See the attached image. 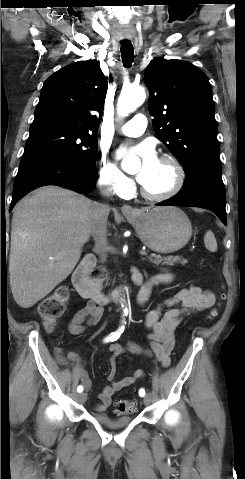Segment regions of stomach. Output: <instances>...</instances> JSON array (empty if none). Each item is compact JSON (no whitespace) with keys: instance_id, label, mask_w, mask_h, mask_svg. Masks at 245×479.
I'll return each instance as SVG.
<instances>
[{"instance_id":"0dacf381","label":"stomach","mask_w":245,"mask_h":479,"mask_svg":"<svg viewBox=\"0 0 245 479\" xmlns=\"http://www.w3.org/2000/svg\"><path fill=\"white\" fill-rule=\"evenodd\" d=\"M126 217L140 240L155 252L178 251L192 236L188 216L176 207H145Z\"/></svg>"}]
</instances>
